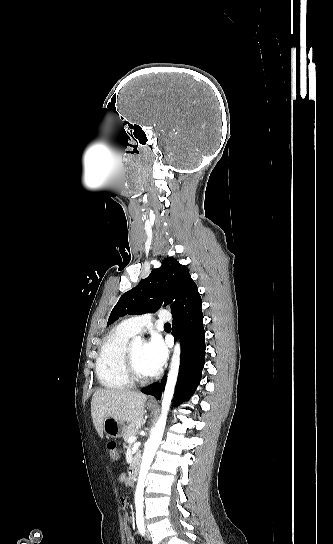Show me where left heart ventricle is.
I'll return each mask as SVG.
<instances>
[{
	"label": "left heart ventricle",
	"instance_id": "1",
	"mask_svg": "<svg viewBox=\"0 0 333 544\" xmlns=\"http://www.w3.org/2000/svg\"><path fill=\"white\" fill-rule=\"evenodd\" d=\"M131 351L133 354L135 366L137 368V371L142 376H149L152 375L154 372L149 368L145 361V345L143 344H135L131 346Z\"/></svg>",
	"mask_w": 333,
	"mask_h": 544
}]
</instances>
